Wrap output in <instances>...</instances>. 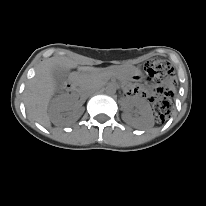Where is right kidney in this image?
Returning <instances> with one entry per match:
<instances>
[{
  "instance_id": "1",
  "label": "right kidney",
  "mask_w": 206,
  "mask_h": 206,
  "mask_svg": "<svg viewBox=\"0 0 206 206\" xmlns=\"http://www.w3.org/2000/svg\"><path fill=\"white\" fill-rule=\"evenodd\" d=\"M80 115L75 105V96L60 95L56 97L49 108V117L53 123L59 124L76 120Z\"/></svg>"
}]
</instances>
